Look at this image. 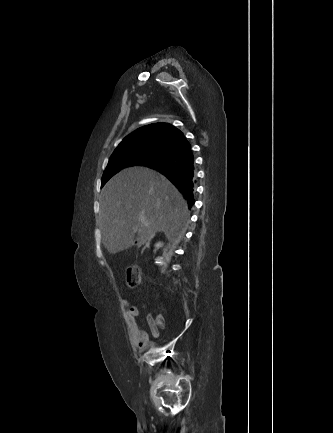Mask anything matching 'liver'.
Wrapping results in <instances>:
<instances>
[{"mask_svg": "<svg viewBox=\"0 0 333 433\" xmlns=\"http://www.w3.org/2000/svg\"><path fill=\"white\" fill-rule=\"evenodd\" d=\"M187 202L163 175L147 167H129L112 177L100 195L99 226L105 248L116 254L162 232L179 242L189 222ZM144 220L145 223H141Z\"/></svg>", "mask_w": 333, "mask_h": 433, "instance_id": "obj_1", "label": "liver"}]
</instances>
